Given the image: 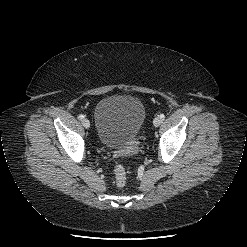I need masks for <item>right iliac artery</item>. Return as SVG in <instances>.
Instances as JSON below:
<instances>
[{
    "mask_svg": "<svg viewBox=\"0 0 247 247\" xmlns=\"http://www.w3.org/2000/svg\"><path fill=\"white\" fill-rule=\"evenodd\" d=\"M78 118H79L80 120H82V119H84V115L81 114V115L78 116Z\"/></svg>",
    "mask_w": 247,
    "mask_h": 247,
    "instance_id": "1",
    "label": "right iliac artery"
}]
</instances>
